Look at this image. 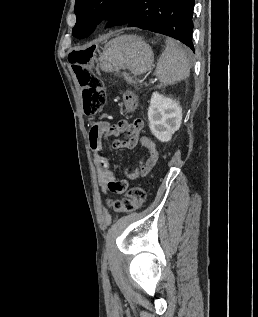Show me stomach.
Here are the masks:
<instances>
[{"label":"stomach","mask_w":258,"mask_h":317,"mask_svg":"<svg viewBox=\"0 0 258 317\" xmlns=\"http://www.w3.org/2000/svg\"><path fill=\"white\" fill-rule=\"evenodd\" d=\"M102 70L129 68L132 74H143L153 66L154 52L145 40L135 34H121L104 44L99 58Z\"/></svg>","instance_id":"1"}]
</instances>
